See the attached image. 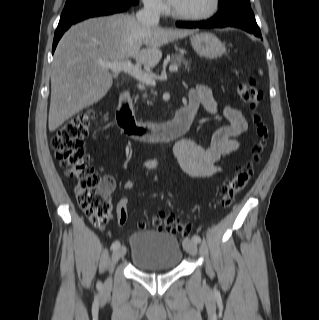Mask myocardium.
<instances>
[{
  "instance_id": "1",
  "label": "myocardium",
  "mask_w": 319,
  "mask_h": 320,
  "mask_svg": "<svg viewBox=\"0 0 319 320\" xmlns=\"http://www.w3.org/2000/svg\"><path fill=\"white\" fill-rule=\"evenodd\" d=\"M220 0H212V4L209 10H207L204 13L200 14H182L177 12L174 8L171 9V15L182 21H202V20H207L211 17H213L217 11L219 10L220 7Z\"/></svg>"
}]
</instances>
